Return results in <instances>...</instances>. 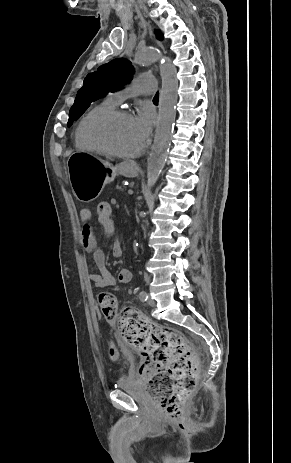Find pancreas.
I'll use <instances>...</instances> for the list:
<instances>
[{
  "label": "pancreas",
  "instance_id": "obj_1",
  "mask_svg": "<svg viewBox=\"0 0 291 463\" xmlns=\"http://www.w3.org/2000/svg\"><path fill=\"white\" fill-rule=\"evenodd\" d=\"M115 189L118 191V193H121V194H124L125 191H126V187L124 186L123 183H118V184L115 186Z\"/></svg>",
  "mask_w": 291,
  "mask_h": 463
}]
</instances>
